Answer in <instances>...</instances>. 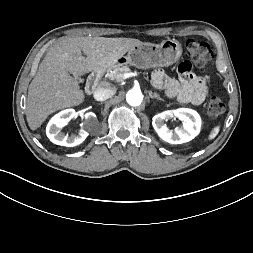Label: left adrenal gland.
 Here are the masks:
<instances>
[{
    "mask_svg": "<svg viewBox=\"0 0 253 253\" xmlns=\"http://www.w3.org/2000/svg\"><path fill=\"white\" fill-rule=\"evenodd\" d=\"M149 96H150V98H152V99L155 98V99L164 101L157 93H152L151 91H149Z\"/></svg>",
    "mask_w": 253,
    "mask_h": 253,
    "instance_id": "left-adrenal-gland-1",
    "label": "left adrenal gland"
}]
</instances>
